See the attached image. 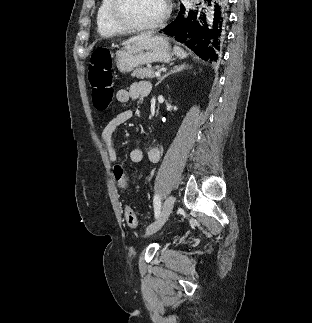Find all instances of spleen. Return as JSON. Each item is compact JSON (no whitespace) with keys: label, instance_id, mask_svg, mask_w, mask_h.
I'll use <instances>...</instances> for the list:
<instances>
[{"label":"spleen","instance_id":"spleen-1","mask_svg":"<svg viewBox=\"0 0 312 323\" xmlns=\"http://www.w3.org/2000/svg\"><path fill=\"white\" fill-rule=\"evenodd\" d=\"M173 52L177 58H181V60H184V58H187L188 54L187 52H184L183 48H179V46H175L173 48Z\"/></svg>","mask_w":312,"mask_h":323}]
</instances>
